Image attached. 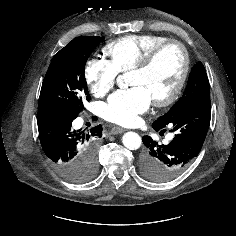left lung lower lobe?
Returning a JSON list of instances; mask_svg holds the SVG:
<instances>
[{
  "label": "left lung lower lobe",
  "instance_id": "obj_1",
  "mask_svg": "<svg viewBox=\"0 0 236 236\" xmlns=\"http://www.w3.org/2000/svg\"><path fill=\"white\" fill-rule=\"evenodd\" d=\"M210 118V97H205L168 122L167 125L172 127L170 132L174 133L169 144H159L150 136H143L146 150L141 157L142 174L155 182H167L180 175L199 154ZM165 127L153 126L156 131L161 132L165 131Z\"/></svg>",
  "mask_w": 236,
  "mask_h": 236
}]
</instances>
